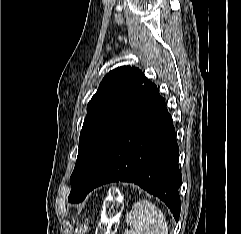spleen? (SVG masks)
Here are the masks:
<instances>
[{"label": "spleen", "instance_id": "spleen-1", "mask_svg": "<svg viewBox=\"0 0 241 234\" xmlns=\"http://www.w3.org/2000/svg\"><path fill=\"white\" fill-rule=\"evenodd\" d=\"M126 222L130 229L125 234H168V224L163 212L147 200L134 204Z\"/></svg>", "mask_w": 241, "mask_h": 234}]
</instances>
